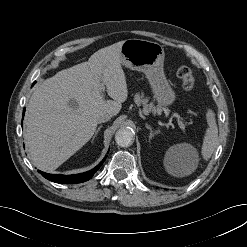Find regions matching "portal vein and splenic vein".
I'll use <instances>...</instances> for the list:
<instances>
[{
    "label": "portal vein and splenic vein",
    "instance_id": "portal-vein-and-splenic-vein-1",
    "mask_svg": "<svg viewBox=\"0 0 247 247\" xmlns=\"http://www.w3.org/2000/svg\"><path fill=\"white\" fill-rule=\"evenodd\" d=\"M102 91H104V89ZM176 122L179 125V127L184 131L185 130V125L179 119H176Z\"/></svg>",
    "mask_w": 247,
    "mask_h": 247
}]
</instances>
